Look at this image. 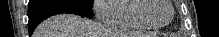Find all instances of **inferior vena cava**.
<instances>
[{
    "instance_id": "1",
    "label": "inferior vena cava",
    "mask_w": 219,
    "mask_h": 37,
    "mask_svg": "<svg viewBox=\"0 0 219 37\" xmlns=\"http://www.w3.org/2000/svg\"><path fill=\"white\" fill-rule=\"evenodd\" d=\"M99 36H103L105 34L104 30L102 28H100L98 30Z\"/></svg>"
}]
</instances>
